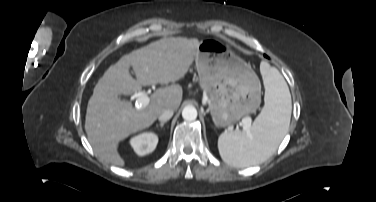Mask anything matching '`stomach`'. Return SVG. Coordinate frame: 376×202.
<instances>
[{"label":"stomach","instance_id":"obj_1","mask_svg":"<svg viewBox=\"0 0 376 202\" xmlns=\"http://www.w3.org/2000/svg\"><path fill=\"white\" fill-rule=\"evenodd\" d=\"M195 63L217 127L234 123L259 107L260 81L251 66L228 45L212 38L202 40Z\"/></svg>","mask_w":376,"mask_h":202}]
</instances>
